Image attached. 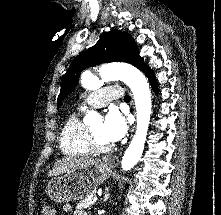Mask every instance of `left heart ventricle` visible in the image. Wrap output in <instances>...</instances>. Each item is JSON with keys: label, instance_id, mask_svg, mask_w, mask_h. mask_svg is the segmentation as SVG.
Masks as SVG:
<instances>
[{"label": "left heart ventricle", "instance_id": "b2bd125f", "mask_svg": "<svg viewBox=\"0 0 221 215\" xmlns=\"http://www.w3.org/2000/svg\"><path fill=\"white\" fill-rule=\"evenodd\" d=\"M102 122L98 121L95 124H93L90 128L93 131L95 137L97 138V140L101 143V144H108V142H106L102 135H101V128H102Z\"/></svg>", "mask_w": 221, "mask_h": 215}]
</instances>
